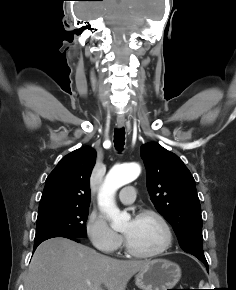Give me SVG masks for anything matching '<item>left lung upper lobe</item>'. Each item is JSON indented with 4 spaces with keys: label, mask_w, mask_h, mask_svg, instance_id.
Here are the masks:
<instances>
[{
    "label": "left lung upper lobe",
    "mask_w": 236,
    "mask_h": 290,
    "mask_svg": "<svg viewBox=\"0 0 236 290\" xmlns=\"http://www.w3.org/2000/svg\"><path fill=\"white\" fill-rule=\"evenodd\" d=\"M140 154L155 208L173 226L181 248L207 263L203 253L201 207L190 171L178 156L158 143L142 145Z\"/></svg>",
    "instance_id": "left-lung-upper-lobe-1"
}]
</instances>
